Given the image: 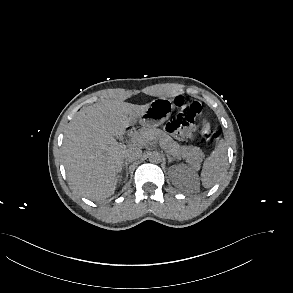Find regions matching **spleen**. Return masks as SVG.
Returning <instances> with one entry per match:
<instances>
[{"instance_id":"3e777b00","label":"spleen","mask_w":293,"mask_h":293,"mask_svg":"<svg viewBox=\"0 0 293 293\" xmlns=\"http://www.w3.org/2000/svg\"><path fill=\"white\" fill-rule=\"evenodd\" d=\"M227 144L220 140L209 158L205 161L201 172V182L205 188L212 187L226 171Z\"/></svg>"}]
</instances>
